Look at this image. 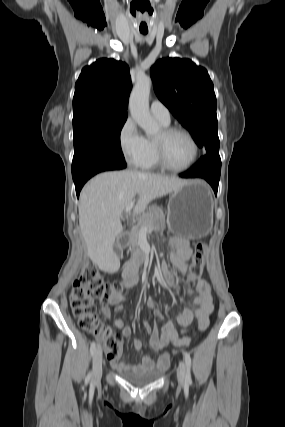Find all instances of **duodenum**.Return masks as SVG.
<instances>
[{
  "mask_svg": "<svg viewBox=\"0 0 285 427\" xmlns=\"http://www.w3.org/2000/svg\"><path fill=\"white\" fill-rule=\"evenodd\" d=\"M135 263H130L124 270L123 275L126 278L128 282H131V276L134 274L135 271Z\"/></svg>",
  "mask_w": 285,
  "mask_h": 427,
  "instance_id": "410a0bca",
  "label": "duodenum"
}]
</instances>
